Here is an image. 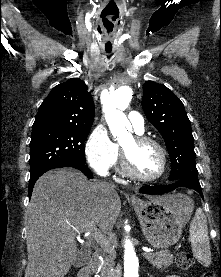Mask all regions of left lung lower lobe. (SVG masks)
<instances>
[{
	"label": "left lung lower lobe",
	"mask_w": 221,
	"mask_h": 277,
	"mask_svg": "<svg viewBox=\"0 0 221 277\" xmlns=\"http://www.w3.org/2000/svg\"><path fill=\"white\" fill-rule=\"evenodd\" d=\"M178 187H187V188H190V189H194L203 198L200 183L199 182H190V181H187V180L173 181L171 184L165 185V186H160V185L149 186V185H146V186L141 187L139 191L141 193L154 195V194L168 193V192L173 191L174 189H176Z\"/></svg>",
	"instance_id": "1"
}]
</instances>
